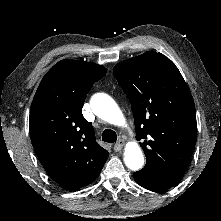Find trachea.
Masks as SVG:
<instances>
[{"mask_svg": "<svg viewBox=\"0 0 221 221\" xmlns=\"http://www.w3.org/2000/svg\"><path fill=\"white\" fill-rule=\"evenodd\" d=\"M102 140L108 143H114L117 140L116 133L111 129H106L102 133Z\"/></svg>", "mask_w": 221, "mask_h": 221, "instance_id": "trachea-1", "label": "trachea"}]
</instances>
